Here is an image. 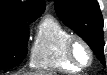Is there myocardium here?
I'll list each match as a JSON object with an SVG mask.
<instances>
[{
	"label": "myocardium",
	"mask_w": 107,
	"mask_h": 75,
	"mask_svg": "<svg viewBox=\"0 0 107 75\" xmlns=\"http://www.w3.org/2000/svg\"><path fill=\"white\" fill-rule=\"evenodd\" d=\"M76 44H81L87 50L89 58L86 63H82L76 58L74 53V47ZM65 51L68 60L80 69L89 67L93 62V50L90 45L80 36L71 35L66 41Z\"/></svg>",
	"instance_id": "myocardium-1"
}]
</instances>
